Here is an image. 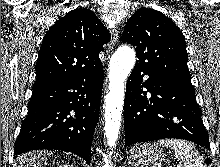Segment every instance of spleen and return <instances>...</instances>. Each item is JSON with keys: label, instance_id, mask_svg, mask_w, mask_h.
Here are the masks:
<instances>
[{"label": "spleen", "instance_id": "spleen-1", "mask_svg": "<svg viewBox=\"0 0 220 167\" xmlns=\"http://www.w3.org/2000/svg\"><path fill=\"white\" fill-rule=\"evenodd\" d=\"M157 145L171 148L180 161L179 167H203V158L193 144L180 139H162ZM183 163V164H182Z\"/></svg>", "mask_w": 220, "mask_h": 167}]
</instances>
